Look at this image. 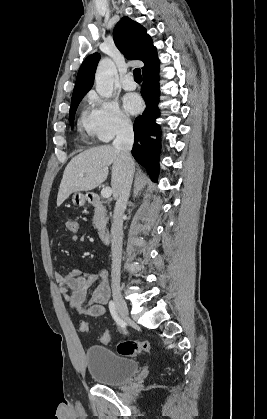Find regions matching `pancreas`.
Segmentation results:
<instances>
[{
    "label": "pancreas",
    "mask_w": 267,
    "mask_h": 419,
    "mask_svg": "<svg viewBox=\"0 0 267 419\" xmlns=\"http://www.w3.org/2000/svg\"><path fill=\"white\" fill-rule=\"evenodd\" d=\"M108 221L106 210L103 207H96L93 217V226L100 230Z\"/></svg>",
    "instance_id": "obj_1"
}]
</instances>
